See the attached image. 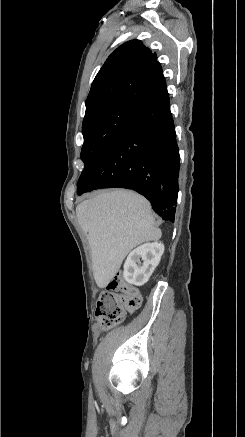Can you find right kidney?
Listing matches in <instances>:
<instances>
[{"label":"right kidney","instance_id":"right-kidney-1","mask_svg":"<svg viewBox=\"0 0 245 437\" xmlns=\"http://www.w3.org/2000/svg\"><path fill=\"white\" fill-rule=\"evenodd\" d=\"M163 253L164 245L161 242L137 247L129 253L124 263V279L136 286L144 285L158 266Z\"/></svg>","mask_w":245,"mask_h":437}]
</instances>
